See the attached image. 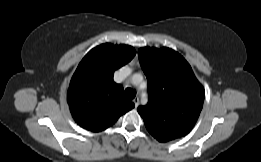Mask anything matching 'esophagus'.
Wrapping results in <instances>:
<instances>
[{"instance_id":"1","label":"esophagus","mask_w":261,"mask_h":162,"mask_svg":"<svg viewBox=\"0 0 261 162\" xmlns=\"http://www.w3.org/2000/svg\"><path fill=\"white\" fill-rule=\"evenodd\" d=\"M133 103L135 104V108H137L139 106V98L138 97H135L133 99Z\"/></svg>"}]
</instances>
